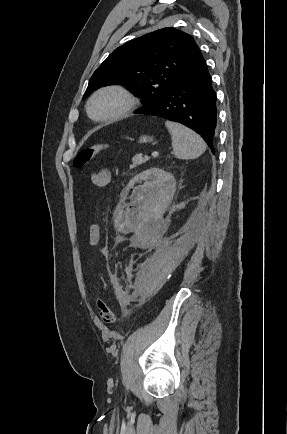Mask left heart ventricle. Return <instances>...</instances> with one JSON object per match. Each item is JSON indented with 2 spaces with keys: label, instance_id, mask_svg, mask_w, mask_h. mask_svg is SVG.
Instances as JSON below:
<instances>
[{
  "label": "left heart ventricle",
  "instance_id": "obj_1",
  "mask_svg": "<svg viewBox=\"0 0 287 434\" xmlns=\"http://www.w3.org/2000/svg\"><path fill=\"white\" fill-rule=\"evenodd\" d=\"M121 105V100L117 96L109 95L98 99L93 105L95 115H104L110 113Z\"/></svg>",
  "mask_w": 287,
  "mask_h": 434
}]
</instances>
